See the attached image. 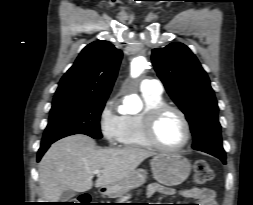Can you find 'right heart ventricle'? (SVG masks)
<instances>
[{
  "mask_svg": "<svg viewBox=\"0 0 253 205\" xmlns=\"http://www.w3.org/2000/svg\"><path fill=\"white\" fill-rule=\"evenodd\" d=\"M145 108L138 114L123 116L122 135L120 143L130 148H151L144 135V118L148 110L165 104L162 95L142 92Z\"/></svg>",
  "mask_w": 253,
  "mask_h": 205,
  "instance_id": "obj_1",
  "label": "right heart ventricle"
}]
</instances>
